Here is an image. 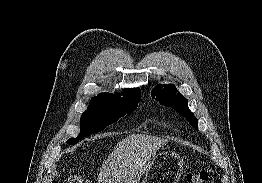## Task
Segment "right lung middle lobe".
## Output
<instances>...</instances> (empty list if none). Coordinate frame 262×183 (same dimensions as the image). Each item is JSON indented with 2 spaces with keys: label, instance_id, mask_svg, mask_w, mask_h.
Returning a JSON list of instances; mask_svg holds the SVG:
<instances>
[{
  "label": "right lung middle lobe",
  "instance_id": "obj_1",
  "mask_svg": "<svg viewBox=\"0 0 262 183\" xmlns=\"http://www.w3.org/2000/svg\"><path fill=\"white\" fill-rule=\"evenodd\" d=\"M139 100L119 103L91 101L89 107L81 116L80 134L76 138L69 139L67 144L73 145L88 134L100 132L120 117L130 114L137 108Z\"/></svg>",
  "mask_w": 262,
  "mask_h": 183
}]
</instances>
